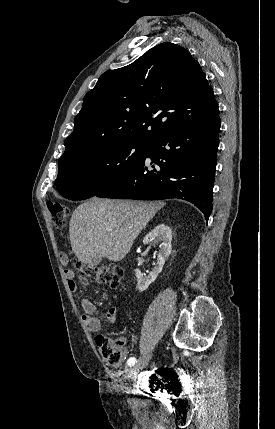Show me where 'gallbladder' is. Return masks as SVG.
I'll return each instance as SVG.
<instances>
[{"label": "gallbladder", "mask_w": 275, "mask_h": 429, "mask_svg": "<svg viewBox=\"0 0 275 429\" xmlns=\"http://www.w3.org/2000/svg\"><path fill=\"white\" fill-rule=\"evenodd\" d=\"M101 261H102V257L96 256L90 260L89 265L90 266H97L101 263Z\"/></svg>", "instance_id": "bac80fb5"}]
</instances>
